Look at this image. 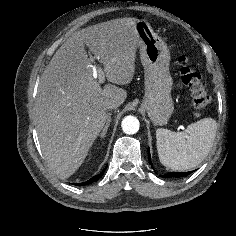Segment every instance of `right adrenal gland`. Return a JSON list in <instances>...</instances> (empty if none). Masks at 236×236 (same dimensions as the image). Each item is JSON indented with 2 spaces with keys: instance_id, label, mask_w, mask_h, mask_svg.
<instances>
[{
  "instance_id": "1",
  "label": "right adrenal gland",
  "mask_w": 236,
  "mask_h": 236,
  "mask_svg": "<svg viewBox=\"0 0 236 236\" xmlns=\"http://www.w3.org/2000/svg\"><path fill=\"white\" fill-rule=\"evenodd\" d=\"M108 115H109L108 116V120H107V122H106V124H105V126H104V128L102 130V133L100 134L101 138H104L106 136L107 130H108L109 126H110L111 114L109 113Z\"/></svg>"
}]
</instances>
